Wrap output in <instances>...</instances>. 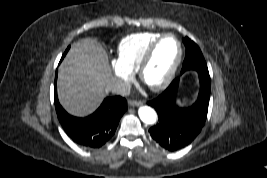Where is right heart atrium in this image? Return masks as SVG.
Listing matches in <instances>:
<instances>
[{
	"label": "right heart atrium",
	"mask_w": 267,
	"mask_h": 178,
	"mask_svg": "<svg viewBox=\"0 0 267 178\" xmlns=\"http://www.w3.org/2000/svg\"><path fill=\"white\" fill-rule=\"evenodd\" d=\"M111 66L117 80V91L124 93L133 80V72L121 65L117 60H112Z\"/></svg>",
	"instance_id": "1"
}]
</instances>
